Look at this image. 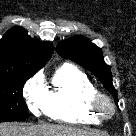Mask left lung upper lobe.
Segmentation results:
<instances>
[{"label":"left lung upper lobe","instance_id":"obj_1","mask_svg":"<svg viewBox=\"0 0 136 136\" xmlns=\"http://www.w3.org/2000/svg\"><path fill=\"white\" fill-rule=\"evenodd\" d=\"M57 52L62 57L79 63L91 71L104 84L118 102L116 90L112 84L109 66L104 62L100 48L82 36H75L57 45Z\"/></svg>","mask_w":136,"mask_h":136}]
</instances>
